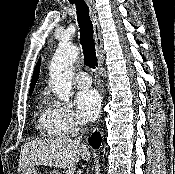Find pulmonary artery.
Listing matches in <instances>:
<instances>
[{
	"label": "pulmonary artery",
	"mask_w": 175,
	"mask_h": 174,
	"mask_svg": "<svg viewBox=\"0 0 175 174\" xmlns=\"http://www.w3.org/2000/svg\"><path fill=\"white\" fill-rule=\"evenodd\" d=\"M75 83L81 87H88L91 85L92 80L88 73L82 71L75 75Z\"/></svg>",
	"instance_id": "pulmonary-artery-1"
}]
</instances>
